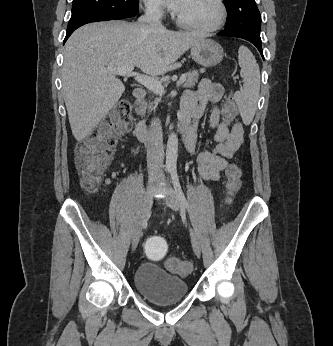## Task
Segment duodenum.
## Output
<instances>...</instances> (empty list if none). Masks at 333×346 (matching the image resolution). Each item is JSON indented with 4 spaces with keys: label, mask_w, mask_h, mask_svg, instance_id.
<instances>
[{
    "label": "duodenum",
    "mask_w": 333,
    "mask_h": 346,
    "mask_svg": "<svg viewBox=\"0 0 333 346\" xmlns=\"http://www.w3.org/2000/svg\"><path fill=\"white\" fill-rule=\"evenodd\" d=\"M145 95L146 92L142 88H136L133 92V96L137 101L138 114H142L144 111V107L141 102L144 100ZM174 129L178 134L183 135L184 138L187 137L191 132L189 120L187 118H179L174 126ZM134 134L141 141H145L147 139L148 130L144 122L139 121L136 123L134 127Z\"/></svg>",
    "instance_id": "obj_1"
}]
</instances>
